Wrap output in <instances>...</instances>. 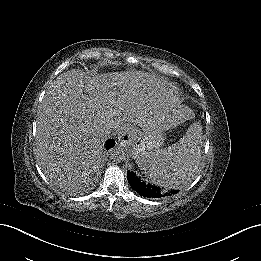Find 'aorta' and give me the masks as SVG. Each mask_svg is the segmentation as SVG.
<instances>
[{
  "mask_svg": "<svg viewBox=\"0 0 261 261\" xmlns=\"http://www.w3.org/2000/svg\"><path fill=\"white\" fill-rule=\"evenodd\" d=\"M111 157L116 162H123L127 159L128 154L124 150V145L117 143V145L111 150Z\"/></svg>",
  "mask_w": 261,
  "mask_h": 261,
  "instance_id": "obj_1",
  "label": "aorta"
}]
</instances>
